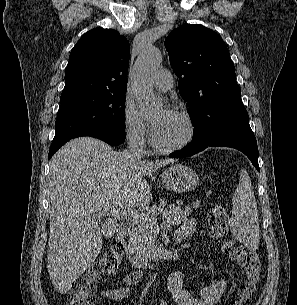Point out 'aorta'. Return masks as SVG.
Here are the masks:
<instances>
[{"mask_svg": "<svg viewBox=\"0 0 297 305\" xmlns=\"http://www.w3.org/2000/svg\"><path fill=\"white\" fill-rule=\"evenodd\" d=\"M161 52L154 46H147L139 55L132 72L131 86L138 102V107L144 114H152L160 106L154 95L153 75L160 66Z\"/></svg>", "mask_w": 297, "mask_h": 305, "instance_id": "aorta-1", "label": "aorta"}]
</instances>
